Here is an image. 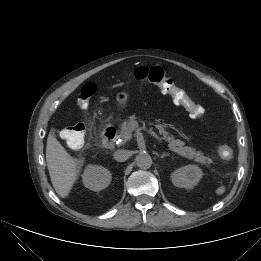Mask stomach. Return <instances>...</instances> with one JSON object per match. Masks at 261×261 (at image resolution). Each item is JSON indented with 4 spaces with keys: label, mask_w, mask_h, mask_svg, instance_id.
Wrapping results in <instances>:
<instances>
[{
    "label": "stomach",
    "mask_w": 261,
    "mask_h": 261,
    "mask_svg": "<svg viewBox=\"0 0 261 261\" xmlns=\"http://www.w3.org/2000/svg\"><path fill=\"white\" fill-rule=\"evenodd\" d=\"M116 101L119 109H125L128 105L129 95L126 92L116 94Z\"/></svg>",
    "instance_id": "1"
}]
</instances>
